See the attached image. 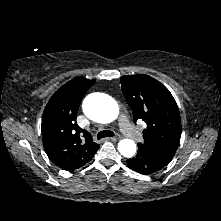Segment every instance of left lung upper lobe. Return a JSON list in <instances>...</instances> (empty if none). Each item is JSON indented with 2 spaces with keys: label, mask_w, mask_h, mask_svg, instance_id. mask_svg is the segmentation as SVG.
Wrapping results in <instances>:
<instances>
[{
  "label": "left lung upper lobe",
  "mask_w": 221,
  "mask_h": 221,
  "mask_svg": "<svg viewBox=\"0 0 221 221\" xmlns=\"http://www.w3.org/2000/svg\"><path fill=\"white\" fill-rule=\"evenodd\" d=\"M121 87L133 112V121L143 120L144 143L138 148L172 160L181 137L178 106L169 90L148 75L121 77Z\"/></svg>",
  "instance_id": "left-lung-upper-lobe-1"
}]
</instances>
